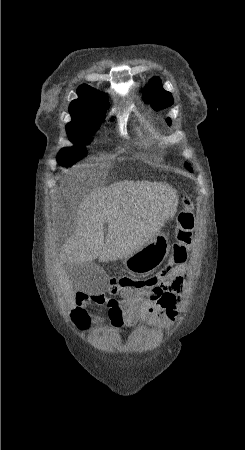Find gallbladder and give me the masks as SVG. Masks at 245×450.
<instances>
[{
    "instance_id": "gallbladder-1",
    "label": "gallbladder",
    "mask_w": 245,
    "mask_h": 450,
    "mask_svg": "<svg viewBox=\"0 0 245 450\" xmlns=\"http://www.w3.org/2000/svg\"><path fill=\"white\" fill-rule=\"evenodd\" d=\"M85 267H86L85 264L79 266L75 265L72 268L68 269V273L71 277L77 278L79 275L84 274Z\"/></svg>"
}]
</instances>
